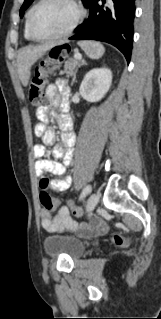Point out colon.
I'll return each instance as SVG.
<instances>
[{"instance_id":"5ec220e1","label":"colon","mask_w":161,"mask_h":319,"mask_svg":"<svg viewBox=\"0 0 161 319\" xmlns=\"http://www.w3.org/2000/svg\"><path fill=\"white\" fill-rule=\"evenodd\" d=\"M69 52V45L61 44L52 48L47 55L42 58L28 86L29 99L33 106H40L44 102L43 89L49 80V75L62 64ZM51 184L52 181L49 178L43 177L41 179L43 189L40 192L39 200L42 207L48 211L55 209L59 205V201L54 199L46 190ZM113 241L118 246H126L129 244V240L121 236H114Z\"/></svg>"}]
</instances>
